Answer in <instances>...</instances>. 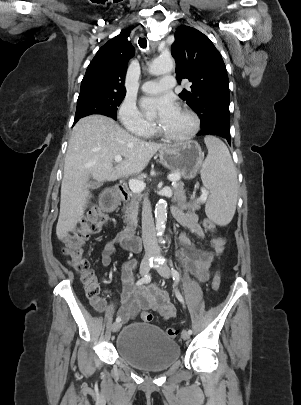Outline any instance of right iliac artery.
I'll return each mask as SVG.
<instances>
[{
    "label": "right iliac artery",
    "mask_w": 301,
    "mask_h": 405,
    "mask_svg": "<svg viewBox=\"0 0 301 405\" xmlns=\"http://www.w3.org/2000/svg\"><path fill=\"white\" fill-rule=\"evenodd\" d=\"M150 280H151V275H149V274L145 275L143 278H141L140 280L137 281L136 285L140 286L142 284L149 283ZM120 321H121V318L117 317L116 322H120Z\"/></svg>",
    "instance_id": "1"
}]
</instances>
